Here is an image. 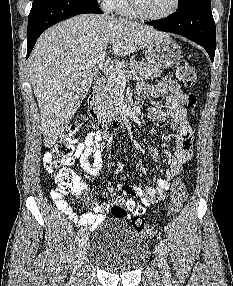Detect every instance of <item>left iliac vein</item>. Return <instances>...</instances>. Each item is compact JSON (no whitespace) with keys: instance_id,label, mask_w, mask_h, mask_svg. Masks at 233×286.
<instances>
[{"instance_id":"obj_1","label":"left iliac vein","mask_w":233,"mask_h":286,"mask_svg":"<svg viewBox=\"0 0 233 286\" xmlns=\"http://www.w3.org/2000/svg\"><path fill=\"white\" fill-rule=\"evenodd\" d=\"M154 250L160 274L164 280H167L170 276V272L164 252L159 245L155 246Z\"/></svg>"}]
</instances>
